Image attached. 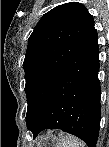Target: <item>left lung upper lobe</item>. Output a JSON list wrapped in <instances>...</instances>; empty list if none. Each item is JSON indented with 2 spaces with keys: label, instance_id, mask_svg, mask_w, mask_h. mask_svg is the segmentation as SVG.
<instances>
[{
  "label": "left lung upper lobe",
  "instance_id": "1",
  "mask_svg": "<svg viewBox=\"0 0 109 147\" xmlns=\"http://www.w3.org/2000/svg\"><path fill=\"white\" fill-rule=\"evenodd\" d=\"M95 33L93 17L77 2L53 8L35 26L23 62L27 127L40 117L62 68Z\"/></svg>",
  "mask_w": 109,
  "mask_h": 147
}]
</instances>
